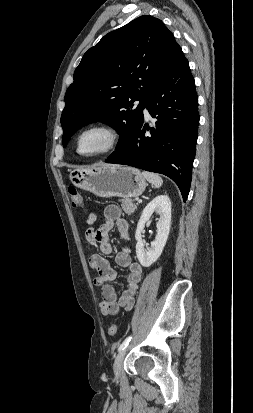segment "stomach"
Instances as JSON below:
<instances>
[{"instance_id":"1","label":"stomach","mask_w":253,"mask_h":413,"mask_svg":"<svg viewBox=\"0 0 253 413\" xmlns=\"http://www.w3.org/2000/svg\"><path fill=\"white\" fill-rule=\"evenodd\" d=\"M69 177L76 187L102 198L137 197L147 186L140 170L129 166L113 165L73 170Z\"/></svg>"}]
</instances>
